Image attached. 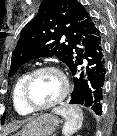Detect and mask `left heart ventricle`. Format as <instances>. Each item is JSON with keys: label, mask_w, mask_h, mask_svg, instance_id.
I'll list each match as a JSON object with an SVG mask.
<instances>
[{"label": "left heart ventricle", "mask_w": 117, "mask_h": 136, "mask_svg": "<svg viewBox=\"0 0 117 136\" xmlns=\"http://www.w3.org/2000/svg\"><path fill=\"white\" fill-rule=\"evenodd\" d=\"M63 84L53 72L37 75L30 88V99L35 106H44L54 101L62 92Z\"/></svg>", "instance_id": "left-heart-ventricle-1"}]
</instances>
